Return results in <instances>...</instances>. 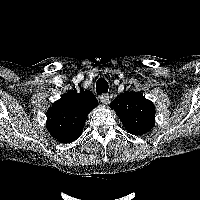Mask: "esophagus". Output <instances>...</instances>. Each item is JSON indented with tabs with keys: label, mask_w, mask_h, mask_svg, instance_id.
<instances>
[{
	"label": "esophagus",
	"mask_w": 200,
	"mask_h": 200,
	"mask_svg": "<svg viewBox=\"0 0 200 200\" xmlns=\"http://www.w3.org/2000/svg\"><path fill=\"white\" fill-rule=\"evenodd\" d=\"M99 98H100V101L103 104H108V102H109V95L107 93L101 94Z\"/></svg>",
	"instance_id": "1"
}]
</instances>
